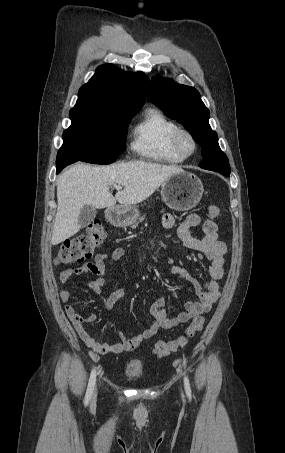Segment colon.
I'll return each mask as SVG.
<instances>
[{
  "instance_id": "5ec220e1",
  "label": "colon",
  "mask_w": 285,
  "mask_h": 453,
  "mask_svg": "<svg viewBox=\"0 0 285 453\" xmlns=\"http://www.w3.org/2000/svg\"><path fill=\"white\" fill-rule=\"evenodd\" d=\"M208 214L211 218H217L221 215V209L216 205L208 208ZM105 239V230L102 223L98 220L91 222L86 231L66 240L58 251L55 262L57 264H72L81 262L90 258L94 249L103 243ZM204 325L202 317H196L186 328L185 332L174 340L159 341L154 347V353L158 357H166L186 345L189 338L201 331Z\"/></svg>"
}]
</instances>
